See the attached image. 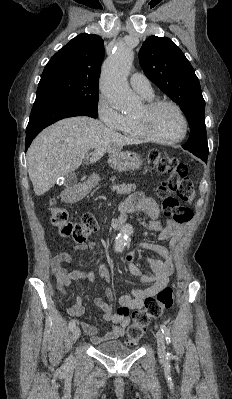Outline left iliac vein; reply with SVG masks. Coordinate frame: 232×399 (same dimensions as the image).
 I'll return each mask as SVG.
<instances>
[{
    "label": "left iliac vein",
    "instance_id": "4c4485c4",
    "mask_svg": "<svg viewBox=\"0 0 232 399\" xmlns=\"http://www.w3.org/2000/svg\"><path fill=\"white\" fill-rule=\"evenodd\" d=\"M155 339L158 340L159 356H166L165 337H163V332H156Z\"/></svg>",
    "mask_w": 232,
    "mask_h": 399
}]
</instances>
